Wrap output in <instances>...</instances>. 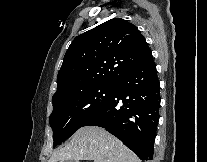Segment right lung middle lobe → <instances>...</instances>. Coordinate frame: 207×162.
I'll use <instances>...</instances> for the list:
<instances>
[{"label": "right lung middle lobe", "instance_id": "right-lung-middle-lobe-1", "mask_svg": "<svg viewBox=\"0 0 207 162\" xmlns=\"http://www.w3.org/2000/svg\"><path fill=\"white\" fill-rule=\"evenodd\" d=\"M114 85H100L53 99L49 118L53 129V147L69 138L110 99Z\"/></svg>", "mask_w": 207, "mask_h": 162}]
</instances>
